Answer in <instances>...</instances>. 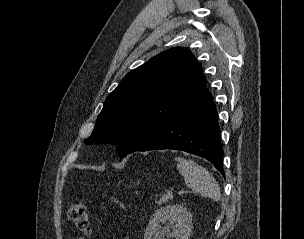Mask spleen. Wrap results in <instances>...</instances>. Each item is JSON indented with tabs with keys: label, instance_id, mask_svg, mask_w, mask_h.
<instances>
[{
	"label": "spleen",
	"instance_id": "obj_1",
	"mask_svg": "<svg viewBox=\"0 0 304 239\" xmlns=\"http://www.w3.org/2000/svg\"><path fill=\"white\" fill-rule=\"evenodd\" d=\"M177 168L184 177L185 183L194 193L219 201L221 192L212 174L193 160L177 157Z\"/></svg>",
	"mask_w": 304,
	"mask_h": 239
}]
</instances>
